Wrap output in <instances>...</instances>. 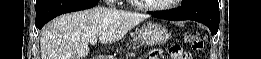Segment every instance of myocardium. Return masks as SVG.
<instances>
[{
  "label": "myocardium",
  "instance_id": "1",
  "mask_svg": "<svg viewBox=\"0 0 261 59\" xmlns=\"http://www.w3.org/2000/svg\"><path fill=\"white\" fill-rule=\"evenodd\" d=\"M180 0H171L170 3L165 4V5H151V4H146L140 1H132L134 4H136L139 8L143 9V10H148V11H164V10H168L172 7L175 6V4L177 2H179Z\"/></svg>",
  "mask_w": 261,
  "mask_h": 59
}]
</instances>
